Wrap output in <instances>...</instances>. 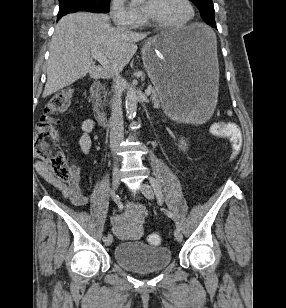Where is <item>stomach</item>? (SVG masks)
Wrapping results in <instances>:
<instances>
[{
	"label": "stomach",
	"instance_id": "0dacf381",
	"mask_svg": "<svg viewBox=\"0 0 286 308\" xmlns=\"http://www.w3.org/2000/svg\"><path fill=\"white\" fill-rule=\"evenodd\" d=\"M142 60L162 107L177 125H202L203 107H214L218 85L217 40L204 24H191L149 39Z\"/></svg>",
	"mask_w": 286,
	"mask_h": 308
}]
</instances>
